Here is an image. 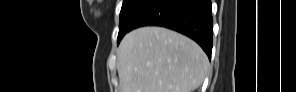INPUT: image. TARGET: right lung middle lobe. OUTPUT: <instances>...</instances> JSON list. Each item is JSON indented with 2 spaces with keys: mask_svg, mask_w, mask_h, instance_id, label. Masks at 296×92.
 <instances>
[{
  "mask_svg": "<svg viewBox=\"0 0 296 92\" xmlns=\"http://www.w3.org/2000/svg\"><path fill=\"white\" fill-rule=\"evenodd\" d=\"M154 0H124L119 23V34L117 43L119 44L123 36L132 28L136 18L153 2Z\"/></svg>",
  "mask_w": 296,
  "mask_h": 92,
  "instance_id": "1",
  "label": "right lung middle lobe"
}]
</instances>
